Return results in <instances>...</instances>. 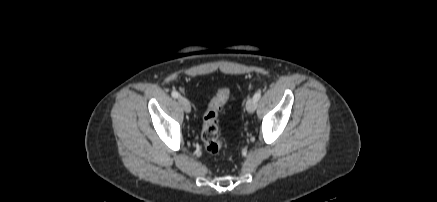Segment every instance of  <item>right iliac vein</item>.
<instances>
[{"label": "right iliac vein", "instance_id": "1", "mask_svg": "<svg viewBox=\"0 0 437 202\" xmlns=\"http://www.w3.org/2000/svg\"><path fill=\"white\" fill-rule=\"evenodd\" d=\"M178 101L186 113L191 112V104L185 97L180 96Z\"/></svg>", "mask_w": 437, "mask_h": 202}]
</instances>
